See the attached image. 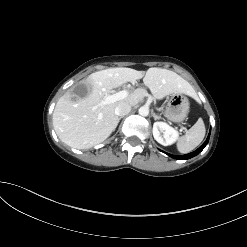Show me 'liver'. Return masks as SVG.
<instances>
[{
    "instance_id": "liver-1",
    "label": "liver",
    "mask_w": 247,
    "mask_h": 247,
    "mask_svg": "<svg viewBox=\"0 0 247 247\" xmlns=\"http://www.w3.org/2000/svg\"><path fill=\"white\" fill-rule=\"evenodd\" d=\"M142 78L155 99L170 94L194 95L186 80L167 69L153 67L144 72L120 67L101 70L90 74L84 81L88 89L85 97L74 99L73 92L67 91L56 103L53 126L59 139L77 149H88L106 140L119 123L115 114L118 104L126 102L135 106L148 93L138 88L123 100L106 105L101 102L112 89Z\"/></svg>"
}]
</instances>
